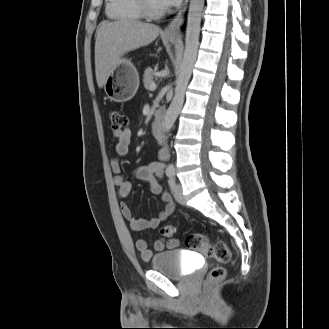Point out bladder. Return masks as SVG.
<instances>
[{
  "instance_id": "bladder-1",
  "label": "bladder",
  "mask_w": 329,
  "mask_h": 329,
  "mask_svg": "<svg viewBox=\"0 0 329 329\" xmlns=\"http://www.w3.org/2000/svg\"><path fill=\"white\" fill-rule=\"evenodd\" d=\"M151 269L173 279H182L187 275L179 249L157 253L151 260Z\"/></svg>"
}]
</instances>
